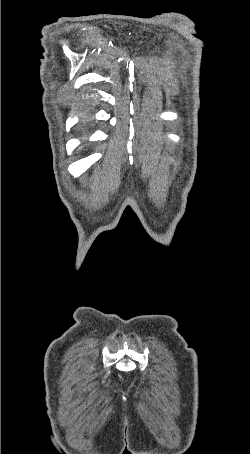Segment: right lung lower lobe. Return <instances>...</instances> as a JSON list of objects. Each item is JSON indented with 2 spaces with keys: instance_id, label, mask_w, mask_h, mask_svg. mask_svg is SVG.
<instances>
[{
  "instance_id": "1",
  "label": "right lung lower lobe",
  "mask_w": 250,
  "mask_h": 454,
  "mask_svg": "<svg viewBox=\"0 0 250 454\" xmlns=\"http://www.w3.org/2000/svg\"><path fill=\"white\" fill-rule=\"evenodd\" d=\"M91 123V113L88 110V107L84 108L83 114H82V121L81 124L84 127H88Z\"/></svg>"
}]
</instances>
